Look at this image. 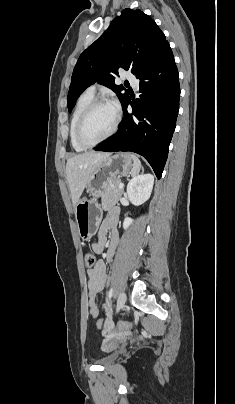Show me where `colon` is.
<instances>
[{
	"instance_id": "colon-1",
	"label": "colon",
	"mask_w": 235,
	"mask_h": 404,
	"mask_svg": "<svg viewBox=\"0 0 235 404\" xmlns=\"http://www.w3.org/2000/svg\"><path fill=\"white\" fill-rule=\"evenodd\" d=\"M96 262H97L96 257L93 254L88 253L85 255V264L88 268H92L96 264ZM96 324H97L98 328H105L107 325V322L104 319L99 318V319H97ZM120 327L131 328V325L130 324H120Z\"/></svg>"
}]
</instances>
